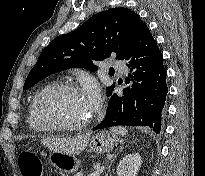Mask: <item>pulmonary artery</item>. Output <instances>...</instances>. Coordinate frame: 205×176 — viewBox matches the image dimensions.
<instances>
[{"label":"pulmonary artery","instance_id":"1","mask_svg":"<svg viewBox=\"0 0 205 176\" xmlns=\"http://www.w3.org/2000/svg\"><path fill=\"white\" fill-rule=\"evenodd\" d=\"M112 67L115 71H118L119 73H125L127 71V67L124 64L115 62Z\"/></svg>","mask_w":205,"mask_h":176}]
</instances>
